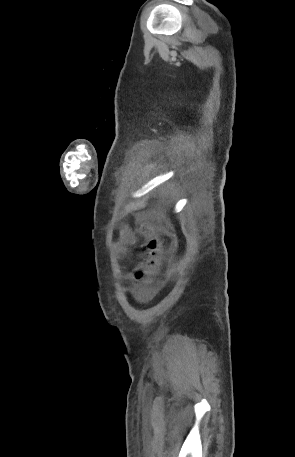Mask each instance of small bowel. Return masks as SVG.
<instances>
[{
  "label": "small bowel",
  "mask_w": 295,
  "mask_h": 457,
  "mask_svg": "<svg viewBox=\"0 0 295 457\" xmlns=\"http://www.w3.org/2000/svg\"><path fill=\"white\" fill-rule=\"evenodd\" d=\"M135 243L134 234L127 228L124 227L120 231V237L118 242V248L121 252H125L128 247L132 246ZM155 287L146 286L141 290V294L148 298L156 292Z\"/></svg>",
  "instance_id": "1"
}]
</instances>
